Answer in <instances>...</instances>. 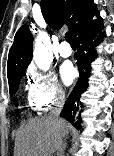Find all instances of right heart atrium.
<instances>
[{
    "label": "right heart atrium",
    "instance_id": "right-heart-atrium-1",
    "mask_svg": "<svg viewBox=\"0 0 114 156\" xmlns=\"http://www.w3.org/2000/svg\"><path fill=\"white\" fill-rule=\"evenodd\" d=\"M28 98L38 110L44 111L62 104L65 100V91L53 72L32 69L29 71Z\"/></svg>",
    "mask_w": 114,
    "mask_h": 156
}]
</instances>
